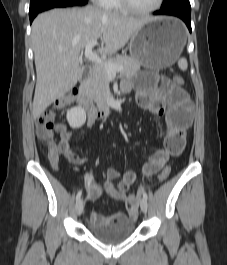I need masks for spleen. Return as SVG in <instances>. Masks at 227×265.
I'll use <instances>...</instances> for the list:
<instances>
[{
	"instance_id": "1",
	"label": "spleen",
	"mask_w": 227,
	"mask_h": 265,
	"mask_svg": "<svg viewBox=\"0 0 227 265\" xmlns=\"http://www.w3.org/2000/svg\"><path fill=\"white\" fill-rule=\"evenodd\" d=\"M178 66L182 71H185L188 67L187 60L185 58H181L178 60Z\"/></svg>"
}]
</instances>
